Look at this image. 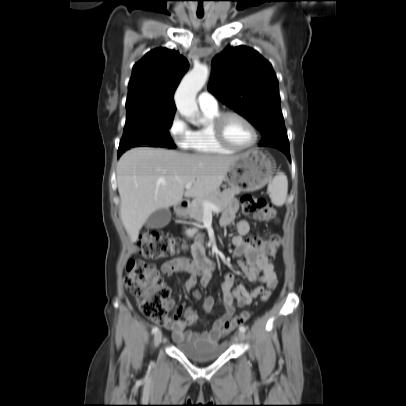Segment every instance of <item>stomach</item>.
Here are the masks:
<instances>
[{
  "label": "stomach",
  "instance_id": "0dacf381",
  "mask_svg": "<svg viewBox=\"0 0 406 406\" xmlns=\"http://www.w3.org/2000/svg\"><path fill=\"white\" fill-rule=\"evenodd\" d=\"M274 170L275 163L269 156L259 149H252L239 155L225 179L232 189L256 191L271 181ZM178 214L184 215L183 212Z\"/></svg>",
  "mask_w": 406,
  "mask_h": 406
}]
</instances>
